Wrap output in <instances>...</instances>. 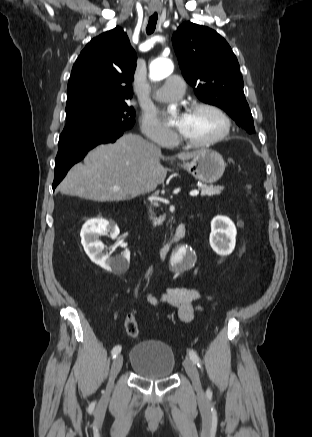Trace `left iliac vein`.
I'll return each mask as SVG.
<instances>
[{
  "mask_svg": "<svg viewBox=\"0 0 312 437\" xmlns=\"http://www.w3.org/2000/svg\"><path fill=\"white\" fill-rule=\"evenodd\" d=\"M184 368L192 380L193 386L199 396H203V389L200 382V377L198 370L194 364V362L188 358H186L183 362Z\"/></svg>",
  "mask_w": 312,
  "mask_h": 437,
  "instance_id": "1",
  "label": "left iliac vein"
}]
</instances>
